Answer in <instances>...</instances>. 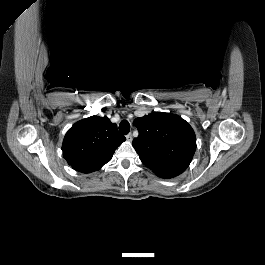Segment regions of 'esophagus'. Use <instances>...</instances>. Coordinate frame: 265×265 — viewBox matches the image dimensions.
<instances>
[{
    "instance_id": "esophagus-1",
    "label": "esophagus",
    "mask_w": 265,
    "mask_h": 265,
    "mask_svg": "<svg viewBox=\"0 0 265 265\" xmlns=\"http://www.w3.org/2000/svg\"><path fill=\"white\" fill-rule=\"evenodd\" d=\"M126 139H127V141L128 142H131L132 141V134L131 133H129L128 135H126Z\"/></svg>"
}]
</instances>
